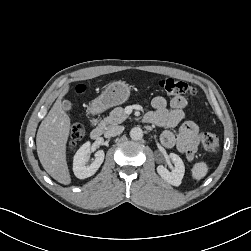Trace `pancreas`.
<instances>
[{
	"mask_svg": "<svg viewBox=\"0 0 251 251\" xmlns=\"http://www.w3.org/2000/svg\"><path fill=\"white\" fill-rule=\"evenodd\" d=\"M127 118L128 115L125 113L124 109L122 107H116L110 112L108 117L100 122V126L104 129L114 127L125 121Z\"/></svg>",
	"mask_w": 251,
	"mask_h": 251,
	"instance_id": "pancreas-1",
	"label": "pancreas"
}]
</instances>
